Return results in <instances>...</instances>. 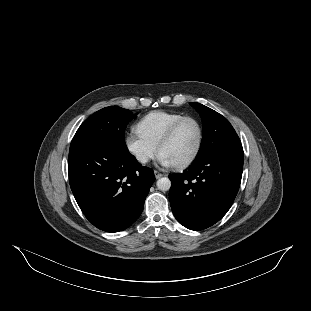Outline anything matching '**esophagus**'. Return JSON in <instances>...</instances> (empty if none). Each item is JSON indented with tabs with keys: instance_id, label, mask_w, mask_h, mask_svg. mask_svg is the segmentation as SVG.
Masks as SVG:
<instances>
[{
	"instance_id": "1",
	"label": "esophagus",
	"mask_w": 311,
	"mask_h": 311,
	"mask_svg": "<svg viewBox=\"0 0 311 311\" xmlns=\"http://www.w3.org/2000/svg\"><path fill=\"white\" fill-rule=\"evenodd\" d=\"M154 175H155L156 179H159L163 176V174L157 170H154Z\"/></svg>"
}]
</instances>
